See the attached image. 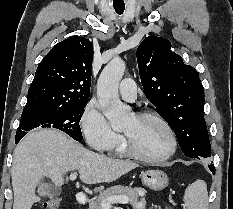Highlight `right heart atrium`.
Instances as JSON below:
<instances>
[{
    "label": "right heart atrium",
    "mask_w": 233,
    "mask_h": 209,
    "mask_svg": "<svg viewBox=\"0 0 233 209\" xmlns=\"http://www.w3.org/2000/svg\"><path fill=\"white\" fill-rule=\"evenodd\" d=\"M80 127L87 144L94 150L107 151L122 141V136L112 129L96 100H90L83 109Z\"/></svg>",
    "instance_id": "d8ad5b80"
}]
</instances>
